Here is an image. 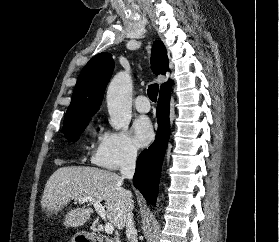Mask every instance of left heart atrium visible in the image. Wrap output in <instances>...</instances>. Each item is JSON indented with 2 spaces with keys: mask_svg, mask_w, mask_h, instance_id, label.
I'll return each mask as SVG.
<instances>
[{
  "mask_svg": "<svg viewBox=\"0 0 279 242\" xmlns=\"http://www.w3.org/2000/svg\"><path fill=\"white\" fill-rule=\"evenodd\" d=\"M153 126L150 119L141 116L134 123V140L139 147L149 144L153 138Z\"/></svg>",
  "mask_w": 279,
  "mask_h": 242,
  "instance_id": "1",
  "label": "left heart atrium"
}]
</instances>
